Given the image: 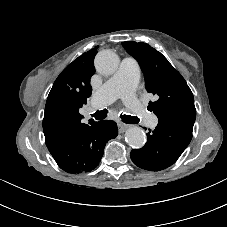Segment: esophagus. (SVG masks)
Instances as JSON below:
<instances>
[{"mask_svg": "<svg viewBox=\"0 0 227 227\" xmlns=\"http://www.w3.org/2000/svg\"><path fill=\"white\" fill-rule=\"evenodd\" d=\"M117 126H118V131L120 133L124 132L128 128V125L121 123V122H118Z\"/></svg>", "mask_w": 227, "mask_h": 227, "instance_id": "1", "label": "esophagus"}]
</instances>
